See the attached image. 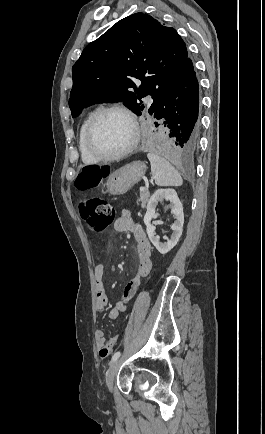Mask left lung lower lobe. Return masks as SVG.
<instances>
[{
  "instance_id": "left-lung-lower-lobe-1",
  "label": "left lung lower lobe",
  "mask_w": 265,
  "mask_h": 434,
  "mask_svg": "<svg viewBox=\"0 0 265 434\" xmlns=\"http://www.w3.org/2000/svg\"><path fill=\"white\" fill-rule=\"evenodd\" d=\"M154 117L163 119L171 140L153 144L151 149L159 153L175 150L184 155L197 149L201 130L199 84L189 57L160 97Z\"/></svg>"
}]
</instances>
